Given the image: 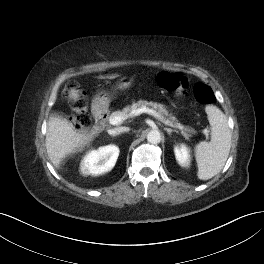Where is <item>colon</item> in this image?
Masks as SVG:
<instances>
[{
	"instance_id": "5ec220e1",
	"label": "colon",
	"mask_w": 264,
	"mask_h": 264,
	"mask_svg": "<svg viewBox=\"0 0 264 264\" xmlns=\"http://www.w3.org/2000/svg\"><path fill=\"white\" fill-rule=\"evenodd\" d=\"M157 84L167 91L177 93H182L189 87L188 79L180 73L162 72L157 77ZM192 91L194 99L200 104H209L214 100L212 89L203 83H196ZM65 94L73 110L71 122L76 130L81 131L90 125L86 94L75 83L66 87Z\"/></svg>"
}]
</instances>
